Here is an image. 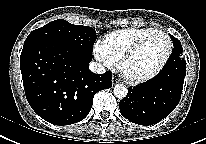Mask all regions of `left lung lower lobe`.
<instances>
[{"label": "left lung lower lobe", "mask_w": 206, "mask_h": 144, "mask_svg": "<svg viewBox=\"0 0 206 144\" xmlns=\"http://www.w3.org/2000/svg\"><path fill=\"white\" fill-rule=\"evenodd\" d=\"M185 75V60L178 54H171L158 75L128 89L127 96L119 103L121 114L139 125L158 123L179 103Z\"/></svg>", "instance_id": "1"}]
</instances>
